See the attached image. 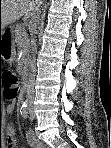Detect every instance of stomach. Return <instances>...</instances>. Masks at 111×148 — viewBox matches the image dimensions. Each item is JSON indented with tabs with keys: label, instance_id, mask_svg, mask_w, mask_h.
Returning a JSON list of instances; mask_svg holds the SVG:
<instances>
[{
	"label": "stomach",
	"instance_id": "1",
	"mask_svg": "<svg viewBox=\"0 0 111 148\" xmlns=\"http://www.w3.org/2000/svg\"><path fill=\"white\" fill-rule=\"evenodd\" d=\"M16 55L14 42H7L0 45V61L11 63Z\"/></svg>",
	"mask_w": 111,
	"mask_h": 148
}]
</instances>
